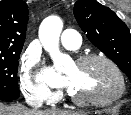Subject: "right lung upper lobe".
Listing matches in <instances>:
<instances>
[{
  "label": "right lung upper lobe",
  "mask_w": 131,
  "mask_h": 115,
  "mask_svg": "<svg viewBox=\"0 0 131 115\" xmlns=\"http://www.w3.org/2000/svg\"><path fill=\"white\" fill-rule=\"evenodd\" d=\"M27 22L28 6L23 0L0 2V54L22 51Z\"/></svg>",
  "instance_id": "right-lung-upper-lobe-1"
}]
</instances>
